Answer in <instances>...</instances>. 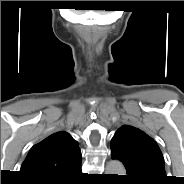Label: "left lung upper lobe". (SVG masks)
Here are the masks:
<instances>
[{"mask_svg":"<svg viewBox=\"0 0 184 184\" xmlns=\"http://www.w3.org/2000/svg\"><path fill=\"white\" fill-rule=\"evenodd\" d=\"M110 148L142 181L155 184L167 181L163 155L157 143L140 129L121 126L112 138Z\"/></svg>","mask_w":184,"mask_h":184,"instance_id":"5c2ea615","label":"left lung upper lobe"}]
</instances>
